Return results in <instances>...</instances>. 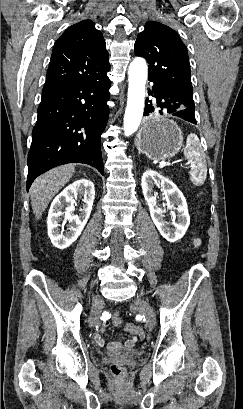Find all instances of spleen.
Wrapping results in <instances>:
<instances>
[{
    "label": "spleen",
    "instance_id": "1",
    "mask_svg": "<svg viewBox=\"0 0 243 409\" xmlns=\"http://www.w3.org/2000/svg\"><path fill=\"white\" fill-rule=\"evenodd\" d=\"M184 154L190 162L191 182L197 186L203 185L207 176V166L202 158L201 144L197 135L193 133L188 135Z\"/></svg>",
    "mask_w": 243,
    "mask_h": 409
}]
</instances>
